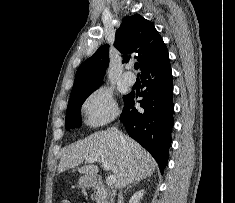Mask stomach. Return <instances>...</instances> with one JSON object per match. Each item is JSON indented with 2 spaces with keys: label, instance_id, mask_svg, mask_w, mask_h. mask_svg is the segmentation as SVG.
<instances>
[{
  "label": "stomach",
  "instance_id": "1",
  "mask_svg": "<svg viewBox=\"0 0 235 203\" xmlns=\"http://www.w3.org/2000/svg\"><path fill=\"white\" fill-rule=\"evenodd\" d=\"M96 178L91 175H83L79 178L78 184L82 188H89L95 185Z\"/></svg>",
  "mask_w": 235,
  "mask_h": 203
}]
</instances>
